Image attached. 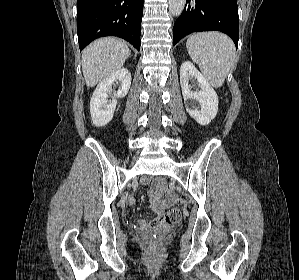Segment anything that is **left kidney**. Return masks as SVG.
Masks as SVG:
<instances>
[{
    "label": "left kidney",
    "mask_w": 299,
    "mask_h": 280,
    "mask_svg": "<svg viewBox=\"0 0 299 280\" xmlns=\"http://www.w3.org/2000/svg\"><path fill=\"white\" fill-rule=\"evenodd\" d=\"M191 78L197 79L200 90H191ZM180 84L188 114L200 125H208L218 111V96L210 83L190 61H185L180 67ZM196 103H199L201 109Z\"/></svg>",
    "instance_id": "left-kidney-1"
}]
</instances>
